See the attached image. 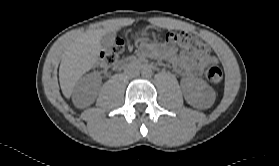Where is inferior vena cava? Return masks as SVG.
Listing matches in <instances>:
<instances>
[{
    "label": "inferior vena cava",
    "instance_id": "1",
    "mask_svg": "<svg viewBox=\"0 0 279 166\" xmlns=\"http://www.w3.org/2000/svg\"><path fill=\"white\" fill-rule=\"evenodd\" d=\"M126 74L129 76V77H136L139 75V71L138 70H130V71H126Z\"/></svg>",
    "mask_w": 279,
    "mask_h": 166
}]
</instances>
